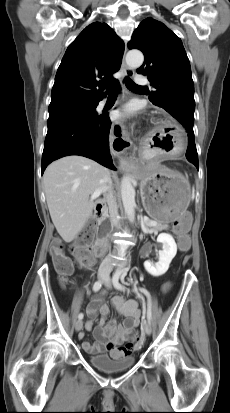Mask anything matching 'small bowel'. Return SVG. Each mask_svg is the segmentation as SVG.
<instances>
[{
	"instance_id": "1",
	"label": "small bowel",
	"mask_w": 230,
	"mask_h": 413,
	"mask_svg": "<svg viewBox=\"0 0 230 413\" xmlns=\"http://www.w3.org/2000/svg\"><path fill=\"white\" fill-rule=\"evenodd\" d=\"M174 233H180L174 229ZM86 267L87 264L81 262ZM112 305L115 309L125 317L123 324H118L115 320H110L106 323L105 319L110 314L108 305L102 302L100 297H94L88 308V321L85 324L87 331L93 329V324L98 314L102 316L98 325L93 329L95 343L84 340L82 343L83 349L92 355L108 353L115 359L129 356L130 352L125 351L128 343L127 340L132 331L140 323V310L138 304L134 300H126L122 296H115L112 299ZM84 333L79 335L80 339H84Z\"/></svg>"
}]
</instances>
